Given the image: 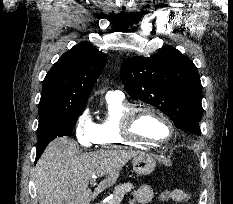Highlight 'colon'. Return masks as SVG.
Segmentation results:
<instances>
[{
    "mask_svg": "<svg viewBox=\"0 0 233 204\" xmlns=\"http://www.w3.org/2000/svg\"><path fill=\"white\" fill-rule=\"evenodd\" d=\"M162 198L166 202L175 203V201L177 200V194L175 193V189L164 191L163 194H162Z\"/></svg>",
    "mask_w": 233,
    "mask_h": 204,
    "instance_id": "colon-1",
    "label": "colon"
}]
</instances>
